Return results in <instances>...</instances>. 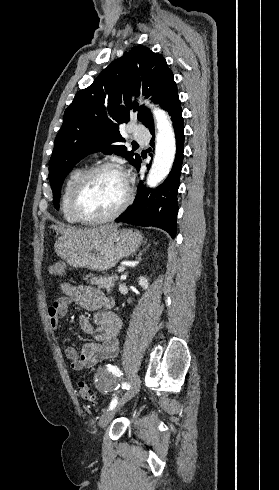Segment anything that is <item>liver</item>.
<instances>
[{
	"label": "liver",
	"instance_id": "liver-1",
	"mask_svg": "<svg viewBox=\"0 0 279 490\" xmlns=\"http://www.w3.org/2000/svg\"><path fill=\"white\" fill-rule=\"evenodd\" d=\"M52 230H58L62 236L66 238H71V240H78V238H90L93 234H98V232H111V230H117V226H99V228H84V230H77V228H71V226H50Z\"/></svg>",
	"mask_w": 279,
	"mask_h": 490
}]
</instances>
